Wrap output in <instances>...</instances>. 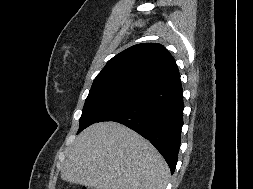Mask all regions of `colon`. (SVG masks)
Returning <instances> with one entry per match:
<instances>
[{"label":"colon","mask_w":253,"mask_h":189,"mask_svg":"<svg viewBox=\"0 0 253 189\" xmlns=\"http://www.w3.org/2000/svg\"><path fill=\"white\" fill-rule=\"evenodd\" d=\"M82 189H88V188H86V187H83Z\"/></svg>","instance_id":"1"}]
</instances>
